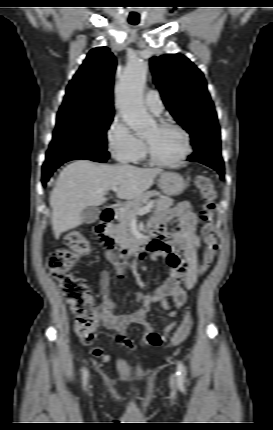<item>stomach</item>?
<instances>
[{"instance_id": "obj_1", "label": "stomach", "mask_w": 273, "mask_h": 430, "mask_svg": "<svg viewBox=\"0 0 273 430\" xmlns=\"http://www.w3.org/2000/svg\"><path fill=\"white\" fill-rule=\"evenodd\" d=\"M158 185L165 195L177 196L185 190L187 183L179 173L162 172L158 179Z\"/></svg>"}]
</instances>
